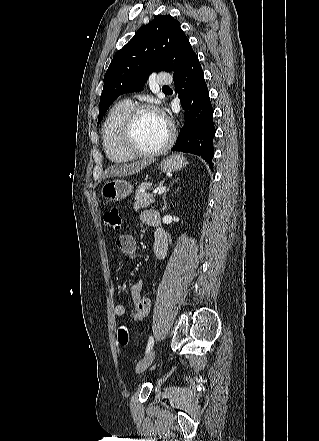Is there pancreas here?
<instances>
[{
    "instance_id": "cf45deb5",
    "label": "pancreas",
    "mask_w": 319,
    "mask_h": 441,
    "mask_svg": "<svg viewBox=\"0 0 319 441\" xmlns=\"http://www.w3.org/2000/svg\"><path fill=\"white\" fill-rule=\"evenodd\" d=\"M162 183L163 182H160L159 186H161ZM151 187V183L143 182L136 189L134 202V209L136 211L146 208L154 202L153 194L145 191V189H151Z\"/></svg>"
}]
</instances>
